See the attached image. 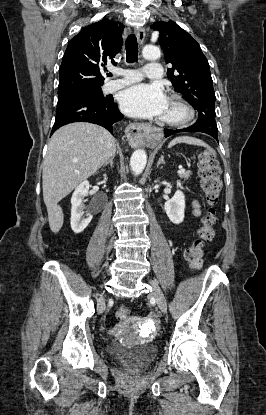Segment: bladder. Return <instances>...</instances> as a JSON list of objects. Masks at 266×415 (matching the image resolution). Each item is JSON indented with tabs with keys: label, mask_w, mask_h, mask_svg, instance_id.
<instances>
[{
	"label": "bladder",
	"mask_w": 266,
	"mask_h": 415,
	"mask_svg": "<svg viewBox=\"0 0 266 415\" xmlns=\"http://www.w3.org/2000/svg\"><path fill=\"white\" fill-rule=\"evenodd\" d=\"M107 352L120 362L134 368H142L157 356V348L153 344H137L126 346L117 341L107 345Z\"/></svg>",
	"instance_id": "1"
}]
</instances>
